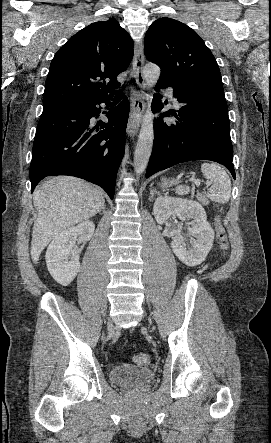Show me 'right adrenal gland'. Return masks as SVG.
<instances>
[{"mask_svg":"<svg viewBox=\"0 0 271 443\" xmlns=\"http://www.w3.org/2000/svg\"><path fill=\"white\" fill-rule=\"evenodd\" d=\"M101 212H102V214H105V208H102V210H100L99 214H101Z\"/></svg>","mask_w":271,"mask_h":443,"instance_id":"2a0ac1e0","label":"right adrenal gland"}]
</instances>
